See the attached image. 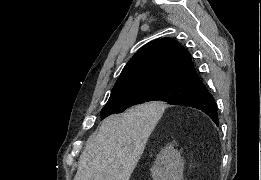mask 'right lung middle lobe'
<instances>
[{
    "label": "right lung middle lobe",
    "mask_w": 261,
    "mask_h": 180,
    "mask_svg": "<svg viewBox=\"0 0 261 180\" xmlns=\"http://www.w3.org/2000/svg\"><path fill=\"white\" fill-rule=\"evenodd\" d=\"M203 85L197 82L155 81L113 90L101 111V120L113 113H121L136 104L161 100L170 103L183 96L197 93Z\"/></svg>",
    "instance_id": "1"
}]
</instances>
